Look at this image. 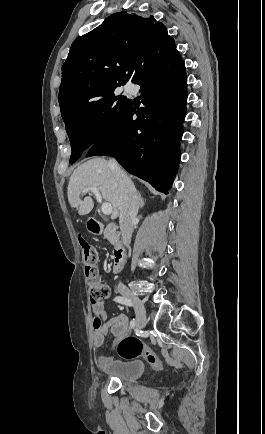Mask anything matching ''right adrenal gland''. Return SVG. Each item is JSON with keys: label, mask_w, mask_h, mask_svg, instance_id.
I'll list each match as a JSON object with an SVG mask.
<instances>
[{"label": "right adrenal gland", "mask_w": 265, "mask_h": 434, "mask_svg": "<svg viewBox=\"0 0 265 434\" xmlns=\"http://www.w3.org/2000/svg\"><path fill=\"white\" fill-rule=\"evenodd\" d=\"M138 194V198H139V208H143L145 202H144V198H141V194L140 192H137Z\"/></svg>", "instance_id": "2a0ac1e0"}]
</instances>
